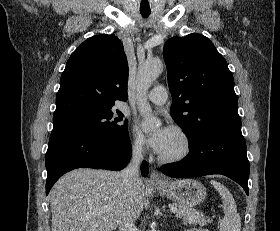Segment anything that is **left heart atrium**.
<instances>
[{
  "instance_id": "left-heart-atrium-1",
  "label": "left heart atrium",
  "mask_w": 280,
  "mask_h": 231,
  "mask_svg": "<svg viewBox=\"0 0 280 231\" xmlns=\"http://www.w3.org/2000/svg\"><path fill=\"white\" fill-rule=\"evenodd\" d=\"M173 136V129L170 126L162 125L148 136V143L157 154H163Z\"/></svg>"
}]
</instances>
